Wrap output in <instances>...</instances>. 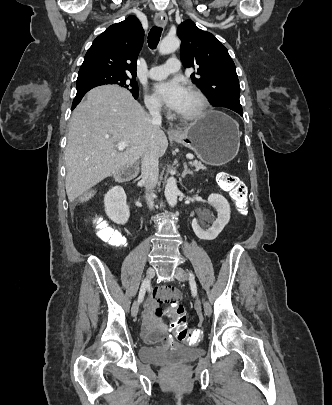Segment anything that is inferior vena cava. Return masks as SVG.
<instances>
[{
	"label": "inferior vena cava",
	"mask_w": 332,
	"mask_h": 405,
	"mask_svg": "<svg viewBox=\"0 0 332 405\" xmlns=\"http://www.w3.org/2000/svg\"><path fill=\"white\" fill-rule=\"evenodd\" d=\"M147 108L150 112L152 118V123L155 125H161L162 116L160 114V104L158 102L152 101L147 103ZM158 157L154 151L150 148L146 150L141 160V175L142 182L146 188V201L148 207L152 210L154 207L153 196L150 193L156 186L158 181Z\"/></svg>",
	"instance_id": "obj_1"
}]
</instances>
